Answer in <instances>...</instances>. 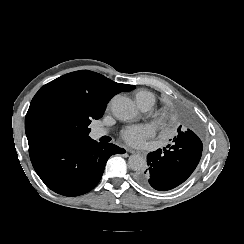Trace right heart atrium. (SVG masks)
I'll return each instance as SVG.
<instances>
[{
    "label": "right heart atrium",
    "mask_w": 244,
    "mask_h": 244,
    "mask_svg": "<svg viewBox=\"0 0 244 244\" xmlns=\"http://www.w3.org/2000/svg\"><path fill=\"white\" fill-rule=\"evenodd\" d=\"M112 100H113V99H112ZM112 100H111V101H112ZM111 101H110V103H109V105H108L109 108H110Z\"/></svg>",
    "instance_id": "d8ad5b80"
}]
</instances>
